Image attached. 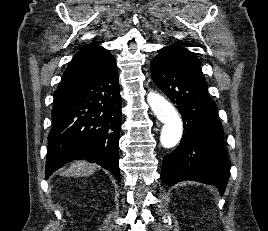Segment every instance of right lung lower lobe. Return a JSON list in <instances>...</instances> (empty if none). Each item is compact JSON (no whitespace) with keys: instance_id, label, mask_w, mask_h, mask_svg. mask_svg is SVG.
Instances as JSON below:
<instances>
[{"instance_id":"obj_1","label":"right lung lower lobe","mask_w":268,"mask_h":231,"mask_svg":"<svg viewBox=\"0 0 268 231\" xmlns=\"http://www.w3.org/2000/svg\"><path fill=\"white\" fill-rule=\"evenodd\" d=\"M121 96L116 60L71 90L52 109L45 177L74 159L96 162L119 173Z\"/></svg>"}]
</instances>
